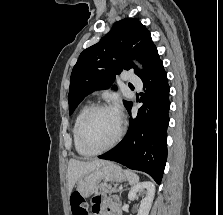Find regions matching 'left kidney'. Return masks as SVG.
<instances>
[{
  "instance_id": "5707ae66",
  "label": "left kidney",
  "mask_w": 223,
  "mask_h": 215,
  "mask_svg": "<svg viewBox=\"0 0 223 215\" xmlns=\"http://www.w3.org/2000/svg\"><path fill=\"white\" fill-rule=\"evenodd\" d=\"M142 191L146 193V197L141 199L137 215H148L155 195V185L152 181H141L133 185L128 193V199H136V193H142Z\"/></svg>"
}]
</instances>
